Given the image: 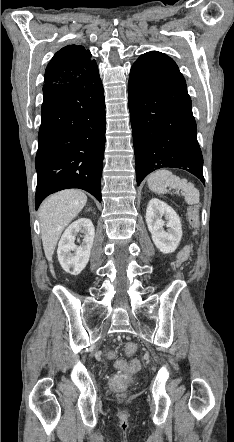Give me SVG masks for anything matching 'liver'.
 <instances>
[{
  "instance_id": "liver-1",
  "label": "liver",
  "mask_w": 234,
  "mask_h": 442,
  "mask_svg": "<svg viewBox=\"0 0 234 442\" xmlns=\"http://www.w3.org/2000/svg\"><path fill=\"white\" fill-rule=\"evenodd\" d=\"M87 202V196L79 190H63L49 196L40 206L39 220L45 256H52L65 227L79 214ZM52 274L53 267L50 265Z\"/></svg>"
}]
</instances>
